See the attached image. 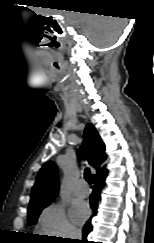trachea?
<instances>
[{
    "label": "trachea",
    "mask_w": 154,
    "mask_h": 243,
    "mask_svg": "<svg viewBox=\"0 0 154 243\" xmlns=\"http://www.w3.org/2000/svg\"><path fill=\"white\" fill-rule=\"evenodd\" d=\"M84 178L85 180L89 183V184H92L93 183V180H92V176H91V172L88 168L85 169V172H84Z\"/></svg>",
    "instance_id": "3493384b"
}]
</instances>
